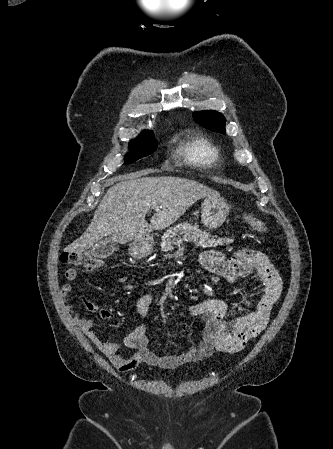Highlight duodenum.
Returning a JSON list of instances; mask_svg holds the SVG:
<instances>
[{
  "label": "duodenum",
  "instance_id": "duodenum-1",
  "mask_svg": "<svg viewBox=\"0 0 333 449\" xmlns=\"http://www.w3.org/2000/svg\"><path fill=\"white\" fill-rule=\"evenodd\" d=\"M151 244V238L145 237L141 241H139L134 247V254L136 256H143L147 253L148 248Z\"/></svg>",
  "mask_w": 333,
  "mask_h": 449
}]
</instances>
